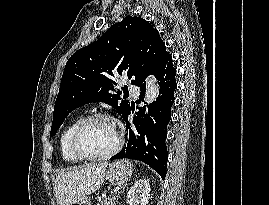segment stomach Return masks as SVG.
I'll return each mask as SVG.
<instances>
[{"label":"stomach","mask_w":269,"mask_h":205,"mask_svg":"<svg viewBox=\"0 0 269 205\" xmlns=\"http://www.w3.org/2000/svg\"><path fill=\"white\" fill-rule=\"evenodd\" d=\"M132 172L133 164L128 160H121L109 165L105 178L113 184H121L132 175ZM70 205H91V203L87 197H81L71 202Z\"/></svg>","instance_id":"0dacf381"}]
</instances>
